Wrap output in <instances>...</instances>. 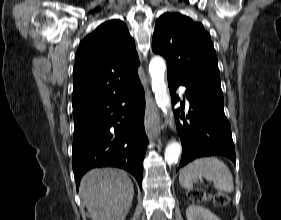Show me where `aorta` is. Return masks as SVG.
<instances>
[{
	"label": "aorta",
	"mask_w": 281,
	"mask_h": 220,
	"mask_svg": "<svg viewBox=\"0 0 281 220\" xmlns=\"http://www.w3.org/2000/svg\"><path fill=\"white\" fill-rule=\"evenodd\" d=\"M166 62L160 56H154L149 63V74L151 77L152 90L155 94L157 105L167 114L171 101L165 82ZM171 124V122H170ZM181 154V145L177 142L170 143L165 150V161L168 165L178 162Z\"/></svg>",
	"instance_id": "762f6f07"
}]
</instances>
